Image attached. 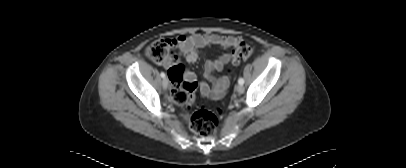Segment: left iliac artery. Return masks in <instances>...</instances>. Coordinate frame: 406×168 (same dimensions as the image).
Returning <instances> with one entry per match:
<instances>
[{
	"mask_svg": "<svg viewBox=\"0 0 406 168\" xmlns=\"http://www.w3.org/2000/svg\"><path fill=\"white\" fill-rule=\"evenodd\" d=\"M238 83L243 85L244 84V79L243 78H239Z\"/></svg>",
	"mask_w": 406,
	"mask_h": 168,
	"instance_id": "left-iliac-artery-1",
	"label": "left iliac artery"
}]
</instances>
